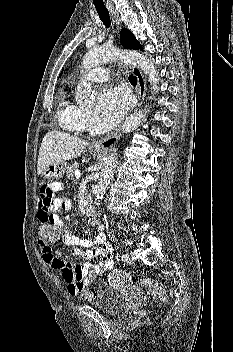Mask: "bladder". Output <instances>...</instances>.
I'll use <instances>...</instances> for the list:
<instances>
[{
	"instance_id": "31cf9c89",
	"label": "bladder",
	"mask_w": 233,
	"mask_h": 352,
	"mask_svg": "<svg viewBox=\"0 0 233 352\" xmlns=\"http://www.w3.org/2000/svg\"><path fill=\"white\" fill-rule=\"evenodd\" d=\"M125 302L126 299L120 291L104 283L96 289L92 305L96 309L112 315L118 313L124 307Z\"/></svg>"
}]
</instances>
